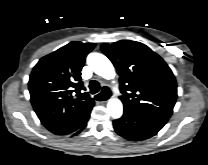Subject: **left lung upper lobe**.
<instances>
[{
    "instance_id": "1",
    "label": "left lung upper lobe",
    "mask_w": 208,
    "mask_h": 165,
    "mask_svg": "<svg viewBox=\"0 0 208 165\" xmlns=\"http://www.w3.org/2000/svg\"><path fill=\"white\" fill-rule=\"evenodd\" d=\"M101 49L120 76L124 109L170 118L177 83L165 61L146 45L130 40L105 43Z\"/></svg>"
}]
</instances>
